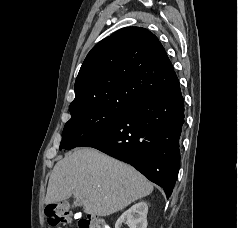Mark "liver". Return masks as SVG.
<instances>
[{
    "label": "liver",
    "instance_id": "liver-1",
    "mask_svg": "<svg viewBox=\"0 0 238 228\" xmlns=\"http://www.w3.org/2000/svg\"><path fill=\"white\" fill-rule=\"evenodd\" d=\"M153 191V184L130 165L93 148H79L58 161L51 173L46 204L72 195L87 214L108 216Z\"/></svg>",
    "mask_w": 238,
    "mask_h": 228
}]
</instances>
